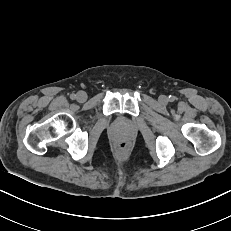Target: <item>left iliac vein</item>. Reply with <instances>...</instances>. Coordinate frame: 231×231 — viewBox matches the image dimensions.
Returning a JSON list of instances; mask_svg holds the SVG:
<instances>
[{
    "mask_svg": "<svg viewBox=\"0 0 231 231\" xmlns=\"http://www.w3.org/2000/svg\"><path fill=\"white\" fill-rule=\"evenodd\" d=\"M166 97L164 96V95H162V96H160L159 97V101L161 102V103H165L166 102Z\"/></svg>",
    "mask_w": 231,
    "mask_h": 231,
    "instance_id": "obj_1",
    "label": "left iliac vein"
}]
</instances>
